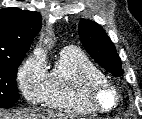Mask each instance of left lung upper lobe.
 Returning <instances> with one entry per match:
<instances>
[{
  "instance_id": "1",
  "label": "left lung upper lobe",
  "mask_w": 142,
  "mask_h": 119,
  "mask_svg": "<svg viewBox=\"0 0 142 119\" xmlns=\"http://www.w3.org/2000/svg\"><path fill=\"white\" fill-rule=\"evenodd\" d=\"M79 36L86 51L98 64L116 77L123 75L120 57L102 27L95 22L81 20Z\"/></svg>"
}]
</instances>
